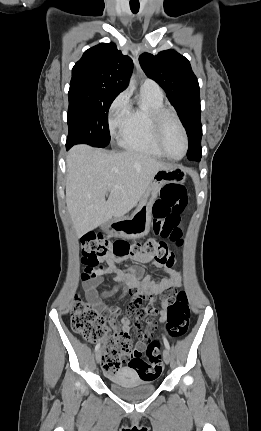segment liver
<instances>
[{"label":"liver","mask_w":261,"mask_h":431,"mask_svg":"<svg viewBox=\"0 0 261 431\" xmlns=\"http://www.w3.org/2000/svg\"><path fill=\"white\" fill-rule=\"evenodd\" d=\"M66 164V204L78 237L112 217H124L141 200L154 175L170 167L143 153H115L87 145L73 147Z\"/></svg>","instance_id":"liver-1"}]
</instances>
